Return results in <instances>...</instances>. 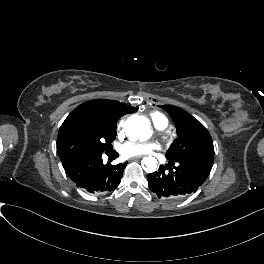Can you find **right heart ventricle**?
Instances as JSON below:
<instances>
[{
    "mask_svg": "<svg viewBox=\"0 0 264 264\" xmlns=\"http://www.w3.org/2000/svg\"><path fill=\"white\" fill-rule=\"evenodd\" d=\"M153 119H154L155 123L166 122L165 118L158 113L153 115Z\"/></svg>",
    "mask_w": 264,
    "mask_h": 264,
    "instance_id": "obj_1",
    "label": "right heart ventricle"
}]
</instances>
